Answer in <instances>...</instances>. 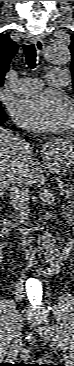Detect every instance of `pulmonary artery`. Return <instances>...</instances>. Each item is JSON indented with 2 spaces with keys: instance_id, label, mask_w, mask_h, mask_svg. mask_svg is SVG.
<instances>
[{
  "instance_id": "pulmonary-artery-1",
  "label": "pulmonary artery",
  "mask_w": 74,
  "mask_h": 366,
  "mask_svg": "<svg viewBox=\"0 0 74 366\" xmlns=\"http://www.w3.org/2000/svg\"><path fill=\"white\" fill-rule=\"evenodd\" d=\"M68 79V73L65 70H52L48 73L50 85L61 87ZM42 87V83L36 78H22L13 85V91L17 94H31L37 92Z\"/></svg>"
}]
</instances>
